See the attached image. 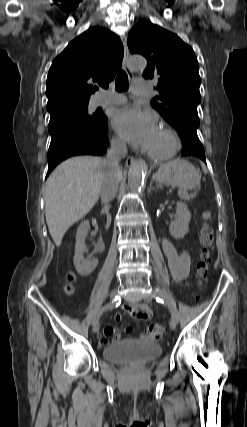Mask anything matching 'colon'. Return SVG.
<instances>
[{
  "label": "colon",
  "instance_id": "1",
  "mask_svg": "<svg viewBox=\"0 0 247 427\" xmlns=\"http://www.w3.org/2000/svg\"><path fill=\"white\" fill-rule=\"evenodd\" d=\"M204 222L202 224L200 230V244H201V253H200V261L198 263V276L200 278H204L208 272V263H209V251L213 242V231L210 225L208 224L209 213L205 212L203 215ZM68 284L65 288L67 293H71L73 291L72 283L75 280V275L73 273H69L67 275ZM148 336L155 340H160L165 335V329L163 326L157 323H152L148 326L147 329Z\"/></svg>",
  "mask_w": 247,
  "mask_h": 427
}]
</instances>
